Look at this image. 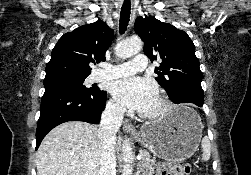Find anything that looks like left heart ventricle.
<instances>
[{
    "label": "left heart ventricle",
    "instance_id": "b2bd125f",
    "mask_svg": "<svg viewBox=\"0 0 251 175\" xmlns=\"http://www.w3.org/2000/svg\"><path fill=\"white\" fill-rule=\"evenodd\" d=\"M156 108H157V105H156V107L153 109V111H154Z\"/></svg>",
    "mask_w": 251,
    "mask_h": 175
}]
</instances>
